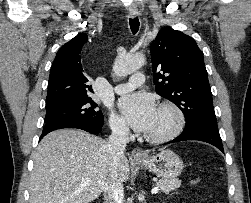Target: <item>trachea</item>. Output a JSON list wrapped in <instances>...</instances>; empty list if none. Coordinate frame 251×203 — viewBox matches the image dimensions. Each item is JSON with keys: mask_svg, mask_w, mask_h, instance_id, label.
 Masks as SVG:
<instances>
[{"mask_svg": "<svg viewBox=\"0 0 251 203\" xmlns=\"http://www.w3.org/2000/svg\"><path fill=\"white\" fill-rule=\"evenodd\" d=\"M129 24H130V29L132 31L133 34H136L139 30V19L138 17H135V18H130L129 20Z\"/></svg>", "mask_w": 251, "mask_h": 203, "instance_id": "trachea-1", "label": "trachea"}]
</instances>
